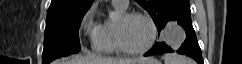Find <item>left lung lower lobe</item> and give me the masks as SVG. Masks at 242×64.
<instances>
[{"label":"left lung lower lobe","mask_w":242,"mask_h":64,"mask_svg":"<svg viewBox=\"0 0 242 64\" xmlns=\"http://www.w3.org/2000/svg\"><path fill=\"white\" fill-rule=\"evenodd\" d=\"M177 23L184 29L186 33V39L181 47L177 50H173L165 42L156 43L144 56L159 55L162 53L174 52L187 55L193 58L198 64H204L201 49L199 47L195 31L191 25V14H184L176 19Z\"/></svg>","instance_id":"left-lung-lower-lobe-1"}]
</instances>
